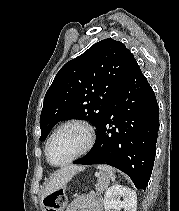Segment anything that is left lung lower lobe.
I'll return each instance as SVG.
<instances>
[{"mask_svg":"<svg viewBox=\"0 0 179 211\" xmlns=\"http://www.w3.org/2000/svg\"><path fill=\"white\" fill-rule=\"evenodd\" d=\"M159 110L135 58L108 105L92 150L74 164H107L146 189L154 165Z\"/></svg>","mask_w":179,"mask_h":211,"instance_id":"0a47b994","label":"left lung lower lobe"}]
</instances>
